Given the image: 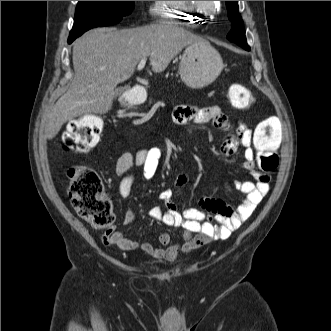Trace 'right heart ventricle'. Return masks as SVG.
Instances as JSON below:
<instances>
[{
    "mask_svg": "<svg viewBox=\"0 0 331 331\" xmlns=\"http://www.w3.org/2000/svg\"><path fill=\"white\" fill-rule=\"evenodd\" d=\"M151 12L163 22H177L184 26H196L198 22L209 16V11L199 10L193 1H154Z\"/></svg>",
    "mask_w": 331,
    "mask_h": 331,
    "instance_id": "right-heart-ventricle-1",
    "label": "right heart ventricle"
}]
</instances>
